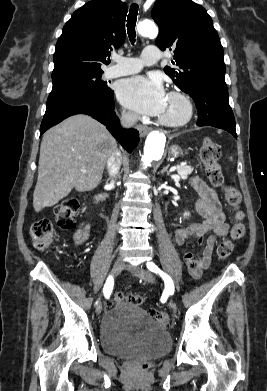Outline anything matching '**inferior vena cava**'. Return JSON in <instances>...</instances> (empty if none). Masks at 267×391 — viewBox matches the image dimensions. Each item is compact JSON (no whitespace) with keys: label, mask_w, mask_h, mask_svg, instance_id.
<instances>
[{"label":"inferior vena cava","mask_w":267,"mask_h":391,"mask_svg":"<svg viewBox=\"0 0 267 391\" xmlns=\"http://www.w3.org/2000/svg\"><path fill=\"white\" fill-rule=\"evenodd\" d=\"M139 116L132 112L123 113L121 117V124L125 128L134 126ZM122 162V155L117 147H115L107 161L108 173L110 177L115 178L118 175Z\"/></svg>","instance_id":"602c4592"}]
</instances>
